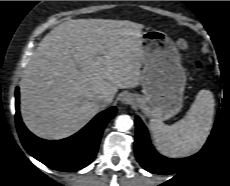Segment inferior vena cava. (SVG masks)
I'll use <instances>...</instances> for the list:
<instances>
[{"mask_svg":"<svg viewBox=\"0 0 230 186\" xmlns=\"http://www.w3.org/2000/svg\"><path fill=\"white\" fill-rule=\"evenodd\" d=\"M110 101H111V99H110L108 96H99V97H98V102H99L101 105H106V104H108Z\"/></svg>","mask_w":230,"mask_h":186,"instance_id":"obj_1","label":"inferior vena cava"}]
</instances>
